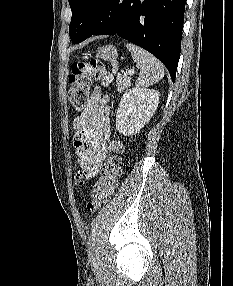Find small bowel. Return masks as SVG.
<instances>
[{
  "label": "small bowel",
  "mask_w": 233,
  "mask_h": 286,
  "mask_svg": "<svg viewBox=\"0 0 233 286\" xmlns=\"http://www.w3.org/2000/svg\"><path fill=\"white\" fill-rule=\"evenodd\" d=\"M110 108L101 88L95 86L87 106L74 119V146L80 165L79 178L95 177L104 163L107 154V142L110 136Z\"/></svg>",
  "instance_id": "c3829d8e"
}]
</instances>
